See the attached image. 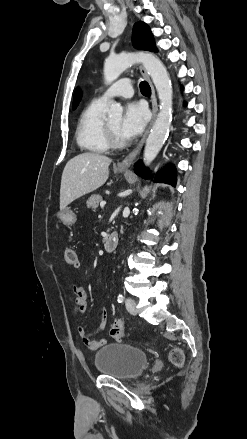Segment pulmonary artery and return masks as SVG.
Returning <instances> with one entry per match:
<instances>
[{"instance_id":"1","label":"pulmonary artery","mask_w":247,"mask_h":439,"mask_svg":"<svg viewBox=\"0 0 247 439\" xmlns=\"http://www.w3.org/2000/svg\"><path fill=\"white\" fill-rule=\"evenodd\" d=\"M133 94V85L129 79H121L107 89L98 100L107 103L113 97H130Z\"/></svg>"}]
</instances>
